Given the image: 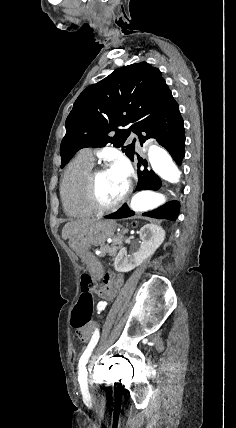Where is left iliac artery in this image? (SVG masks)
<instances>
[{
    "label": "left iliac artery",
    "mask_w": 236,
    "mask_h": 428,
    "mask_svg": "<svg viewBox=\"0 0 236 428\" xmlns=\"http://www.w3.org/2000/svg\"><path fill=\"white\" fill-rule=\"evenodd\" d=\"M106 306V302H99L98 303V313H100L101 310H104ZM99 340V330L96 329L90 343L88 344V347L86 348V350L84 351L83 355L81 356L80 360H79V377H87V369H86V363L88 362V359L91 355V352L93 351L95 345L97 344Z\"/></svg>",
    "instance_id": "left-iliac-artery-1"
}]
</instances>
